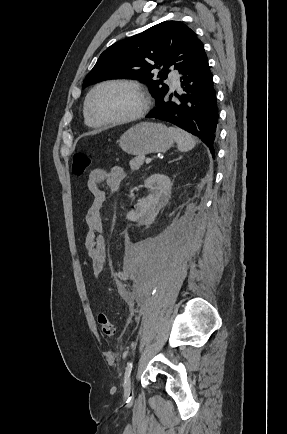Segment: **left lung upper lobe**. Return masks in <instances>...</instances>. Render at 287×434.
<instances>
[{
    "label": "left lung upper lobe",
    "instance_id": "1",
    "mask_svg": "<svg viewBox=\"0 0 287 434\" xmlns=\"http://www.w3.org/2000/svg\"><path fill=\"white\" fill-rule=\"evenodd\" d=\"M204 53L202 42L184 23L164 21L108 47L86 76L83 88L108 79H137L149 85L157 103L169 90L163 84L168 69L179 71ZM154 68L161 70V79L153 78Z\"/></svg>",
    "mask_w": 287,
    "mask_h": 434
}]
</instances>
